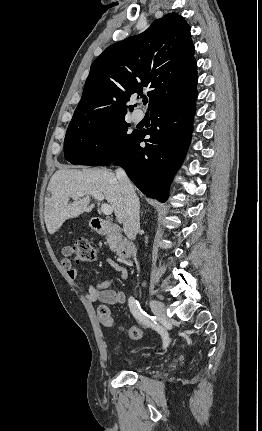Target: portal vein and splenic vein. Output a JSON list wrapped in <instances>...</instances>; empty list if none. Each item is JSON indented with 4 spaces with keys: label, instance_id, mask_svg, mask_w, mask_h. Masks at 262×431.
<instances>
[{
    "label": "portal vein and splenic vein",
    "instance_id": "18ae733b",
    "mask_svg": "<svg viewBox=\"0 0 262 431\" xmlns=\"http://www.w3.org/2000/svg\"><path fill=\"white\" fill-rule=\"evenodd\" d=\"M90 194L98 201H102L104 199L103 194L100 192H91ZM85 195H86V193L81 192V193L76 194L75 198L83 197ZM101 211L105 215H111L113 212V209L109 204H102Z\"/></svg>",
    "mask_w": 262,
    "mask_h": 431
}]
</instances>
